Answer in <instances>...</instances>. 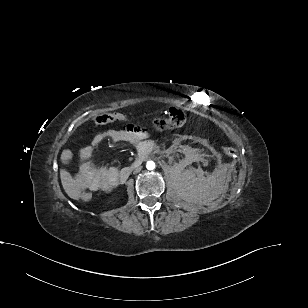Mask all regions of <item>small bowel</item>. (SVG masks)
Returning <instances> with one entry per match:
<instances>
[{
  "instance_id": "small-bowel-1",
  "label": "small bowel",
  "mask_w": 308,
  "mask_h": 308,
  "mask_svg": "<svg viewBox=\"0 0 308 308\" xmlns=\"http://www.w3.org/2000/svg\"><path fill=\"white\" fill-rule=\"evenodd\" d=\"M147 132L139 126L128 125L121 130H109L98 134L93 139L92 145L81 153L80 171L75 175V186L77 191L90 190L107 191L116 185L118 170L114 167H97L91 161L94 147L105 140L113 142H128L133 145H140L147 139ZM68 156L65 160L68 161Z\"/></svg>"
}]
</instances>
